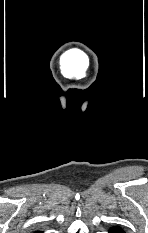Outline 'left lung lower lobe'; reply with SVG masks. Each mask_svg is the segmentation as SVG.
I'll return each instance as SVG.
<instances>
[{"label":"left lung lower lobe","mask_w":148,"mask_h":233,"mask_svg":"<svg viewBox=\"0 0 148 233\" xmlns=\"http://www.w3.org/2000/svg\"><path fill=\"white\" fill-rule=\"evenodd\" d=\"M109 233H124V231L120 228H117V227H112L110 230H109Z\"/></svg>","instance_id":"1"}]
</instances>
